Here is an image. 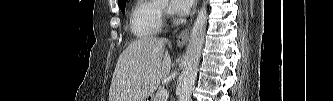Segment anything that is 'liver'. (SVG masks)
<instances>
[{
	"instance_id": "liver-1",
	"label": "liver",
	"mask_w": 333,
	"mask_h": 101,
	"mask_svg": "<svg viewBox=\"0 0 333 101\" xmlns=\"http://www.w3.org/2000/svg\"><path fill=\"white\" fill-rule=\"evenodd\" d=\"M166 39L146 37L133 41L119 56L109 101H146L171 69Z\"/></svg>"
}]
</instances>
